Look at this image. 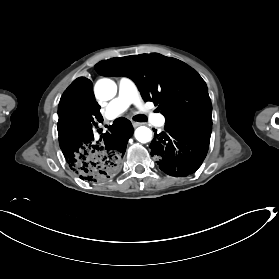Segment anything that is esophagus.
Wrapping results in <instances>:
<instances>
[{"instance_id": "34e87169", "label": "esophagus", "mask_w": 279, "mask_h": 279, "mask_svg": "<svg viewBox=\"0 0 279 279\" xmlns=\"http://www.w3.org/2000/svg\"><path fill=\"white\" fill-rule=\"evenodd\" d=\"M140 125H141V123L132 121V126H133L134 128H136V127H138V126H140Z\"/></svg>"}]
</instances>
